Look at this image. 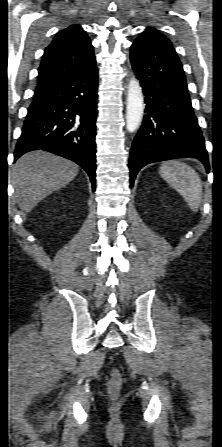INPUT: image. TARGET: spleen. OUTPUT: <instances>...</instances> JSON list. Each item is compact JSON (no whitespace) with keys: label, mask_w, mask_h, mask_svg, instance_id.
Listing matches in <instances>:
<instances>
[{"label":"spleen","mask_w":222,"mask_h":447,"mask_svg":"<svg viewBox=\"0 0 222 447\" xmlns=\"http://www.w3.org/2000/svg\"><path fill=\"white\" fill-rule=\"evenodd\" d=\"M159 173L184 198L191 210L197 212L202 184L195 170L183 162L171 160L161 164Z\"/></svg>","instance_id":"obj_1"}]
</instances>
